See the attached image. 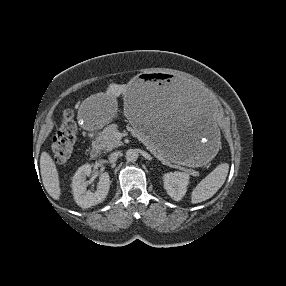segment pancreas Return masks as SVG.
I'll list each match as a JSON object with an SVG mask.
<instances>
[{
    "label": "pancreas",
    "mask_w": 286,
    "mask_h": 286,
    "mask_svg": "<svg viewBox=\"0 0 286 286\" xmlns=\"http://www.w3.org/2000/svg\"><path fill=\"white\" fill-rule=\"evenodd\" d=\"M132 136L136 137L141 143H143L146 148L163 164L171 165L170 160H168L165 156H163L161 153L157 151L153 143L147 139L141 132L130 128L129 129ZM118 125L117 124H110L107 127L103 129L102 132L99 133L98 137L96 138L95 142H93V147L98 150H104V151H111L114 148H117L122 144L121 140L116 137V134L118 133ZM189 173L197 177L199 176V173L194 170H188Z\"/></svg>",
    "instance_id": "1"
}]
</instances>
